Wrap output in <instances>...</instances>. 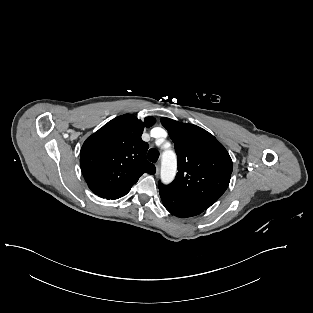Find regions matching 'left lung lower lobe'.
Instances as JSON below:
<instances>
[{"label": "left lung lower lobe", "mask_w": 313, "mask_h": 313, "mask_svg": "<svg viewBox=\"0 0 313 313\" xmlns=\"http://www.w3.org/2000/svg\"><path fill=\"white\" fill-rule=\"evenodd\" d=\"M160 196L163 202V205L165 208L173 215L180 217V218H185V217H192L196 216L200 213H202L204 210L201 207L191 205L188 203H185L169 194L166 192L162 191L159 189Z\"/></svg>", "instance_id": "1"}]
</instances>
